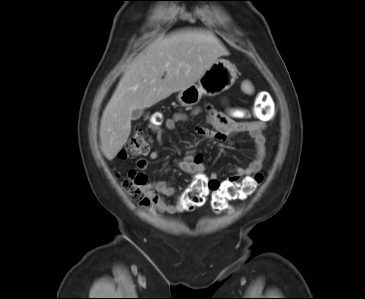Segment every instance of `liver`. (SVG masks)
<instances>
[{"mask_svg":"<svg viewBox=\"0 0 365 299\" xmlns=\"http://www.w3.org/2000/svg\"><path fill=\"white\" fill-rule=\"evenodd\" d=\"M228 54L210 30L184 29L152 43L125 71L103 111L99 136L104 156L114 159L127 142L134 110L149 108L190 87Z\"/></svg>","mask_w":365,"mask_h":299,"instance_id":"1","label":"liver"}]
</instances>
